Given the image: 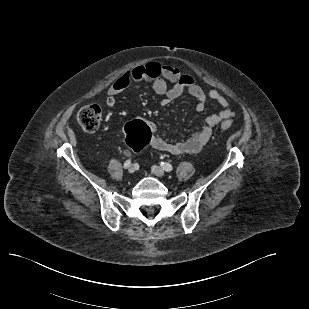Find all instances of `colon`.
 Masks as SVG:
<instances>
[{
  "mask_svg": "<svg viewBox=\"0 0 309 309\" xmlns=\"http://www.w3.org/2000/svg\"><path fill=\"white\" fill-rule=\"evenodd\" d=\"M102 119V110L98 105H86L77 114L80 126L87 132H94L98 129ZM232 126L231 121H223L220 125L222 130H228ZM126 141L133 152H140L151 139V131L148 125L142 120H133L124 127Z\"/></svg>",
  "mask_w": 309,
  "mask_h": 309,
  "instance_id": "1",
  "label": "colon"
}]
</instances>
